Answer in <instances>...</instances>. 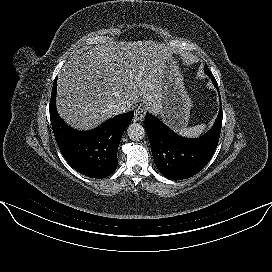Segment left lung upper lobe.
<instances>
[{
	"mask_svg": "<svg viewBox=\"0 0 272 272\" xmlns=\"http://www.w3.org/2000/svg\"><path fill=\"white\" fill-rule=\"evenodd\" d=\"M205 73H206L207 75H211V72L209 71V69H208L207 66H205Z\"/></svg>",
	"mask_w": 272,
	"mask_h": 272,
	"instance_id": "left-lung-upper-lobe-1",
	"label": "left lung upper lobe"
}]
</instances>
